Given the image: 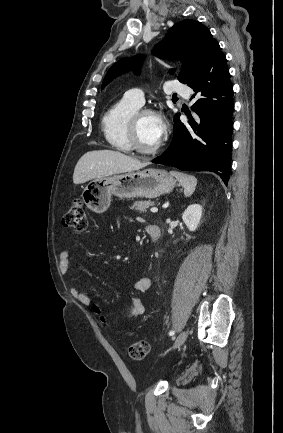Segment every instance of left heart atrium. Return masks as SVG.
<instances>
[{
    "label": "left heart atrium",
    "mask_w": 283,
    "mask_h": 433,
    "mask_svg": "<svg viewBox=\"0 0 283 433\" xmlns=\"http://www.w3.org/2000/svg\"><path fill=\"white\" fill-rule=\"evenodd\" d=\"M163 132H164V125H163V122H162V126H161L160 130L157 133V139L158 140H161Z\"/></svg>",
    "instance_id": "obj_1"
}]
</instances>
